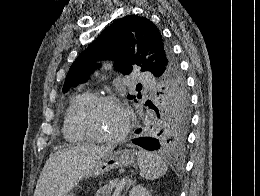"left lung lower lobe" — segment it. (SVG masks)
<instances>
[{
    "label": "left lung lower lobe",
    "mask_w": 260,
    "mask_h": 196,
    "mask_svg": "<svg viewBox=\"0 0 260 196\" xmlns=\"http://www.w3.org/2000/svg\"><path fill=\"white\" fill-rule=\"evenodd\" d=\"M139 132H140V129H138L136 131V133H139ZM133 143L137 144L147 150H150V151L158 150V148H159L158 141L152 137L138 138V139L134 140Z\"/></svg>",
    "instance_id": "left-lung-lower-lobe-1"
}]
</instances>
